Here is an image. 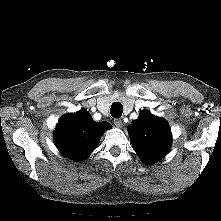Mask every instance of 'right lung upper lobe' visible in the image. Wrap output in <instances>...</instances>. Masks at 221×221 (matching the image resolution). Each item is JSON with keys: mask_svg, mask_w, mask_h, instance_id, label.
<instances>
[{"mask_svg": "<svg viewBox=\"0 0 221 221\" xmlns=\"http://www.w3.org/2000/svg\"><path fill=\"white\" fill-rule=\"evenodd\" d=\"M108 122H96L84 109L63 116L56 125L55 143L58 149L80 161L87 158L97 147Z\"/></svg>", "mask_w": 221, "mask_h": 221, "instance_id": "1", "label": "right lung upper lobe"}]
</instances>
